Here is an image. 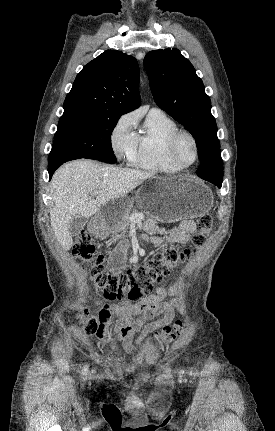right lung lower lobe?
I'll return each instance as SVG.
<instances>
[{
    "instance_id": "98d812e1",
    "label": "right lung lower lobe",
    "mask_w": 275,
    "mask_h": 431,
    "mask_svg": "<svg viewBox=\"0 0 275 431\" xmlns=\"http://www.w3.org/2000/svg\"><path fill=\"white\" fill-rule=\"evenodd\" d=\"M69 161H70V160H69ZM65 162H67V160H63V161H58V162H52V163H49V165H48V172H49V177H50V179H51V177H52V175H53L54 171H55L59 166H61L63 163H65Z\"/></svg>"
}]
</instances>
